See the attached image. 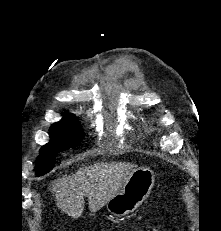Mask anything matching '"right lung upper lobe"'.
<instances>
[{"label":"right lung upper lobe","instance_id":"1","mask_svg":"<svg viewBox=\"0 0 221 231\" xmlns=\"http://www.w3.org/2000/svg\"><path fill=\"white\" fill-rule=\"evenodd\" d=\"M65 118H75L72 114H65Z\"/></svg>","mask_w":221,"mask_h":231}]
</instances>
